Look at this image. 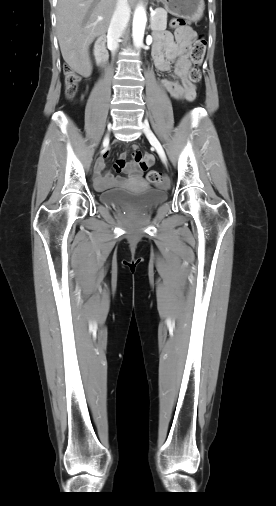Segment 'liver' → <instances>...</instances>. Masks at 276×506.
<instances>
[{"instance_id": "liver-1", "label": "liver", "mask_w": 276, "mask_h": 506, "mask_svg": "<svg viewBox=\"0 0 276 506\" xmlns=\"http://www.w3.org/2000/svg\"><path fill=\"white\" fill-rule=\"evenodd\" d=\"M130 7L136 0H128ZM117 0H58L57 37L63 59L69 68L88 76L92 67L89 46L105 35ZM102 17V20H98Z\"/></svg>"}]
</instances>
